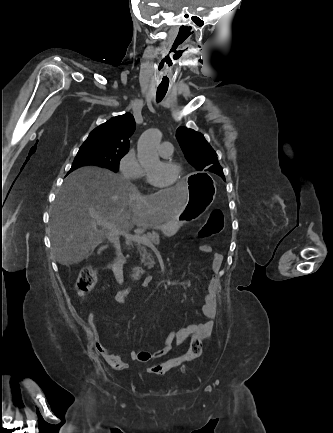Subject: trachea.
Returning <instances> with one entry per match:
<instances>
[{
	"label": "trachea",
	"mask_w": 333,
	"mask_h": 433,
	"mask_svg": "<svg viewBox=\"0 0 333 433\" xmlns=\"http://www.w3.org/2000/svg\"><path fill=\"white\" fill-rule=\"evenodd\" d=\"M168 90V87H162L161 85L157 88V93H156V101L160 102L164 96L166 95Z\"/></svg>",
	"instance_id": "obj_1"
}]
</instances>
